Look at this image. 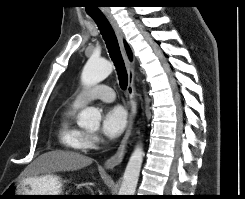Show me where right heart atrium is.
Instances as JSON below:
<instances>
[{"instance_id": "1", "label": "right heart atrium", "mask_w": 245, "mask_h": 199, "mask_svg": "<svg viewBox=\"0 0 245 199\" xmlns=\"http://www.w3.org/2000/svg\"><path fill=\"white\" fill-rule=\"evenodd\" d=\"M99 143V138L96 134H88V145L90 148L97 146Z\"/></svg>"}]
</instances>
